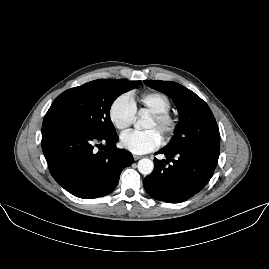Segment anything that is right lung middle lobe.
<instances>
[{
    "mask_svg": "<svg viewBox=\"0 0 269 269\" xmlns=\"http://www.w3.org/2000/svg\"><path fill=\"white\" fill-rule=\"evenodd\" d=\"M141 84V81L99 79L64 91L50 106L47 114L66 117L98 136L117 135L110 120L114 100Z\"/></svg>",
    "mask_w": 269,
    "mask_h": 269,
    "instance_id": "obj_1",
    "label": "right lung middle lobe"
}]
</instances>
